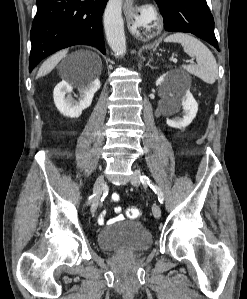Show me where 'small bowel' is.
Segmentation results:
<instances>
[{"instance_id": "c3829d8e", "label": "small bowel", "mask_w": 247, "mask_h": 299, "mask_svg": "<svg viewBox=\"0 0 247 299\" xmlns=\"http://www.w3.org/2000/svg\"><path fill=\"white\" fill-rule=\"evenodd\" d=\"M119 200H120V196H119L117 193H113V194L111 195V201H112V202H118ZM121 210H122L121 207H119V206L115 207L114 211H115V213L117 214V216L114 217V218H112V219H110V220H108V221L106 220V212L103 211V212L99 215V217H98V223H99L100 225H103V224H105L106 222H110V223H112V222H116V221L123 220V219H124V216H123L122 214H120Z\"/></svg>"}]
</instances>
